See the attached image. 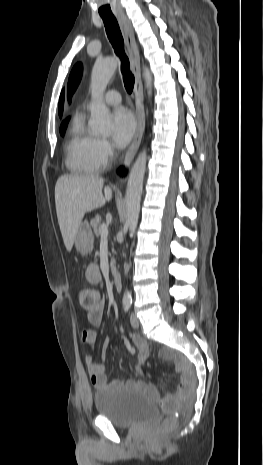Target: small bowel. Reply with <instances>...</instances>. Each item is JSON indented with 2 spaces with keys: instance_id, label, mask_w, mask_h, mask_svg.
<instances>
[{
  "instance_id": "c3829d8e",
  "label": "small bowel",
  "mask_w": 263,
  "mask_h": 465,
  "mask_svg": "<svg viewBox=\"0 0 263 465\" xmlns=\"http://www.w3.org/2000/svg\"><path fill=\"white\" fill-rule=\"evenodd\" d=\"M86 280L88 283L92 285H100L102 283V275L99 267L96 264H89L85 271ZM104 314V303L100 302L98 306L91 312L87 313L88 322L91 325V328H86L81 332V341L89 348L90 352L85 356V363L88 369L89 378L92 385L97 388L101 389L106 386H112L115 388H121L122 386L127 387H137L146 390L152 396L159 398L158 391L152 385H148L143 381L139 380H130L123 382L121 380L115 379L111 382L107 381L106 369L105 364L103 362H97L95 356L92 352L97 332L96 328H98L103 320ZM131 341L133 345L138 350L139 362H138V370L141 371L144 363L146 362L148 355H149V347L145 339L140 337L139 335H131ZM114 343V339L108 337L104 344H103V354H105L107 348ZM162 357L166 360L172 359V354L164 351L162 352ZM176 366L178 370H181V365L176 362ZM187 377V376H185ZM171 399L176 401V397L172 394L167 395L164 399Z\"/></svg>"
}]
</instances>
